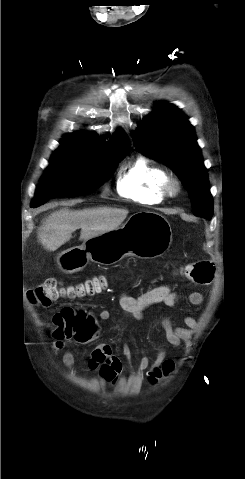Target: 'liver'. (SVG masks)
<instances>
[{"mask_svg":"<svg viewBox=\"0 0 245 479\" xmlns=\"http://www.w3.org/2000/svg\"><path fill=\"white\" fill-rule=\"evenodd\" d=\"M128 215L127 209L97 207L84 210L62 208L52 212L38 228V239L45 249L55 251L80 231V240H88L117 229Z\"/></svg>","mask_w":245,"mask_h":479,"instance_id":"obj_1","label":"liver"}]
</instances>
